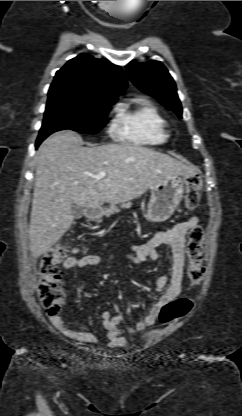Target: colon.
<instances>
[{
  "label": "colon",
  "instance_id": "1",
  "mask_svg": "<svg viewBox=\"0 0 242 416\" xmlns=\"http://www.w3.org/2000/svg\"><path fill=\"white\" fill-rule=\"evenodd\" d=\"M202 181L200 176L193 175L187 178L186 206L194 210L199 204V190ZM204 230L197 225L188 233L186 254L188 258V278L192 285H199L204 276L203 259ZM68 247L58 244L48 249L40 259V279L38 284V297L40 303L49 316H59L65 292L59 273V264L66 257ZM193 307V299L184 296L165 304L159 313L161 324H168L185 317Z\"/></svg>",
  "mask_w": 242,
  "mask_h": 416
}]
</instances>
